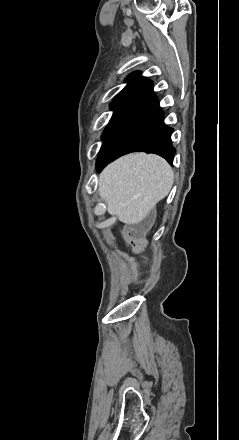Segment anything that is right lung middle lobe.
Segmentation results:
<instances>
[{
    "label": "right lung middle lobe",
    "instance_id": "obj_1",
    "mask_svg": "<svg viewBox=\"0 0 239 440\" xmlns=\"http://www.w3.org/2000/svg\"><path fill=\"white\" fill-rule=\"evenodd\" d=\"M130 102H113L110 105V109L114 110V114L112 116V119L109 123V125L106 127L102 137L106 138V136L111 132V130L113 129V127L115 126V124L117 123V121L119 120V118L121 117V115L123 114V112L125 111V109L127 108V106L129 105Z\"/></svg>",
    "mask_w": 239,
    "mask_h": 440
}]
</instances>
